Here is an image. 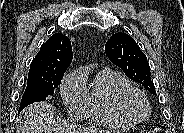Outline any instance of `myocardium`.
<instances>
[{
    "label": "myocardium",
    "instance_id": "f54148a6",
    "mask_svg": "<svg viewBox=\"0 0 184 133\" xmlns=\"http://www.w3.org/2000/svg\"><path fill=\"white\" fill-rule=\"evenodd\" d=\"M132 96L139 97L145 106V111L141 115L134 114L128 107V100ZM116 107L118 112L131 123H139L145 120L149 116L151 110L146 94L133 86L124 88L118 92L116 97Z\"/></svg>",
    "mask_w": 184,
    "mask_h": 133
}]
</instances>
